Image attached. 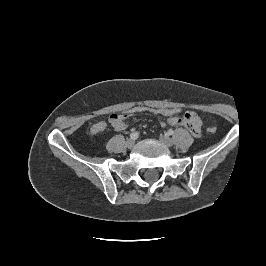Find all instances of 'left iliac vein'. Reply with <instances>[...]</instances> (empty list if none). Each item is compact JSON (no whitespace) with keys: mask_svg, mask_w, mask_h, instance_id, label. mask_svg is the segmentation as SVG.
<instances>
[{"mask_svg":"<svg viewBox=\"0 0 266 266\" xmlns=\"http://www.w3.org/2000/svg\"><path fill=\"white\" fill-rule=\"evenodd\" d=\"M159 138H160V141L168 147H171L174 144V141L166 135H162Z\"/></svg>","mask_w":266,"mask_h":266,"instance_id":"4c4485c4","label":"left iliac vein"}]
</instances>
